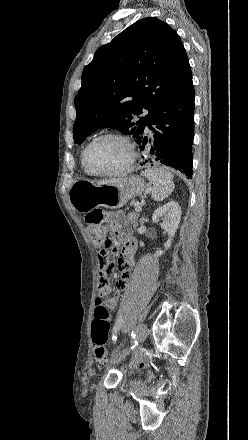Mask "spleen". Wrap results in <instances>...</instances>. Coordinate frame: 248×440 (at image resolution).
<instances>
[{
    "instance_id": "1",
    "label": "spleen",
    "mask_w": 248,
    "mask_h": 440,
    "mask_svg": "<svg viewBox=\"0 0 248 440\" xmlns=\"http://www.w3.org/2000/svg\"><path fill=\"white\" fill-rule=\"evenodd\" d=\"M152 184V198L163 201L174 190L173 175L162 167H154L141 172Z\"/></svg>"
}]
</instances>
